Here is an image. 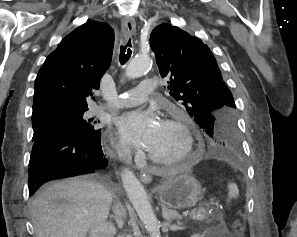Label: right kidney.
<instances>
[{"label": "right kidney", "mask_w": 297, "mask_h": 237, "mask_svg": "<svg viewBox=\"0 0 297 237\" xmlns=\"http://www.w3.org/2000/svg\"><path fill=\"white\" fill-rule=\"evenodd\" d=\"M116 228L109 222H103L91 229L89 237H114Z\"/></svg>", "instance_id": "ca27d5eb"}]
</instances>
